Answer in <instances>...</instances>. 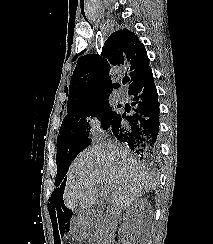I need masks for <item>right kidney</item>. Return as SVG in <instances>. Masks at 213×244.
Masks as SVG:
<instances>
[{
	"label": "right kidney",
	"mask_w": 213,
	"mask_h": 244,
	"mask_svg": "<svg viewBox=\"0 0 213 244\" xmlns=\"http://www.w3.org/2000/svg\"><path fill=\"white\" fill-rule=\"evenodd\" d=\"M149 206L150 204L146 198L137 199L124 216V221L128 223L131 217L136 216L138 214L139 210L149 208Z\"/></svg>",
	"instance_id": "ca27d5eb"
}]
</instances>
